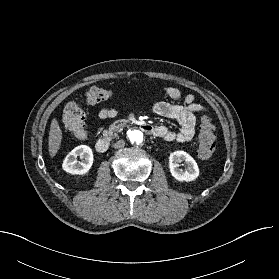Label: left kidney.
Masks as SVG:
<instances>
[{
  "instance_id": "obj_1",
  "label": "left kidney",
  "mask_w": 279,
  "mask_h": 279,
  "mask_svg": "<svg viewBox=\"0 0 279 279\" xmlns=\"http://www.w3.org/2000/svg\"><path fill=\"white\" fill-rule=\"evenodd\" d=\"M185 161L186 170L179 168V163ZM169 169L171 175L178 181H193L199 176V168L196 161L185 151H175L169 156Z\"/></svg>"
}]
</instances>
